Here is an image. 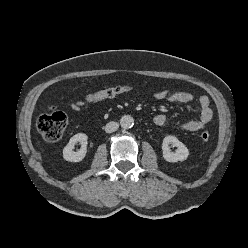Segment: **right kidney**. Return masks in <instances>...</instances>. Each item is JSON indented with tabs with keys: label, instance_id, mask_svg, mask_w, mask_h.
I'll return each mask as SVG.
<instances>
[{
	"label": "right kidney",
	"instance_id": "ca27d5eb",
	"mask_svg": "<svg viewBox=\"0 0 248 248\" xmlns=\"http://www.w3.org/2000/svg\"><path fill=\"white\" fill-rule=\"evenodd\" d=\"M87 139L88 137L84 133H79L71 137L63 149V158L69 162H79L83 160L87 153ZM77 142L81 144V148L75 152L73 149Z\"/></svg>",
	"mask_w": 248,
	"mask_h": 248
}]
</instances>
